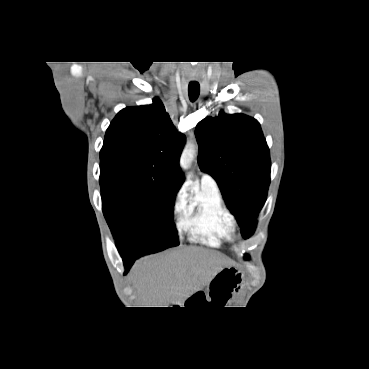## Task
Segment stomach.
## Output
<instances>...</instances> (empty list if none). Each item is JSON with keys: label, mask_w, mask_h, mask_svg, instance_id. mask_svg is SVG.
<instances>
[{"label": "stomach", "mask_w": 369, "mask_h": 369, "mask_svg": "<svg viewBox=\"0 0 369 369\" xmlns=\"http://www.w3.org/2000/svg\"><path fill=\"white\" fill-rule=\"evenodd\" d=\"M243 284V275L233 267L226 266L219 270L207 285L206 296L217 299L226 305Z\"/></svg>", "instance_id": "stomach-1"}]
</instances>
